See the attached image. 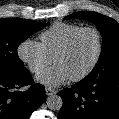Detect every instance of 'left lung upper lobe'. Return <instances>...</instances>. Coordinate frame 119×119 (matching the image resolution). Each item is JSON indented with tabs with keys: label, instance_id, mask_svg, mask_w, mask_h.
<instances>
[{
	"label": "left lung upper lobe",
	"instance_id": "left-lung-upper-lobe-1",
	"mask_svg": "<svg viewBox=\"0 0 119 119\" xmlns=\"http://www.w3.org/2000/svg\"><path fill=\"white\" fill-rule=\"evenodd\" d=\"M77 18L94 22L103 38L99 60L87 77L119 74V24L110 17L92 11L77 12L65 17Z\"/></svg>",
	"mask_w": 119,
	"mask_h": 119
}]
</instances>
